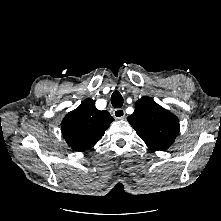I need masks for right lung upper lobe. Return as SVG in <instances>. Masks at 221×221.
<instances>
[{
	"label": "right lung upper lobe",
	"instance_id": "obj_1",
	"mask_svg": "<svg viewBox=\"0 0 221 221\" xmlns=\"http://www.w3.org/2000/svg\"><path fill=\"white\" fill-rule=\"evenodd\" d=\"M113 120L107 111L97 110L95 101L89 98L64 117L61 130L67 144L82 152L102 138Z\"/></svg>",
	"mask_w": 221,
	"mask_h": 221
}]
</instances>
